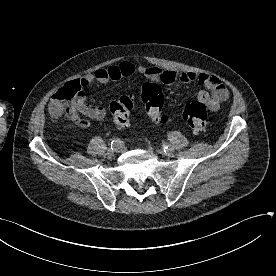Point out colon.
<instances>
[{"instance_id": "5ec220e1", "label": "colon", "mask_w": 276, "mask_h": 276, "mask_svg": "<svg viewBox=\"0 0 276 276\" xmlns=\"http://www.w3.org/2000/svg\"><path fill=\"white\" fill-rule=\"evenodd\" d=\"M81 95L82 87L78 80L65 84L52 97L53 113L71 115L74 112L75 103ZM140 99L153 122L158 125H166L171 121L169 116L162 112L164 97L161 87L157 83L144 84L140 92ZM134 105L135 98L132 96H123L118 101L111 103L110 112L118 128L125 129L129 126ZM180 119L196 133L205 131L208 124L205 104L200 101L186 103Z\"/></svg>"}]
</instances>
